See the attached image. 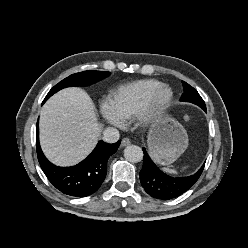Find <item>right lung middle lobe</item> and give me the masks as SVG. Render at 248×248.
<instances>
[{
	"label": "right lung middle lobe",
	"instance_id": "obj_1",
	"mask_svg": "<svg viewBox=\"0 0 248 248\" xmlns=\"http://www.w3.org/2000/svg\"><path fill=\"white\" fill-rule=\"evenodd\" d=\"M110 75L106 71H83L75 73L65 78L58 84H56L47 94L44 101H46L50 96H52L57 91L72 86H88L90 84L96 83Z\"/></svg>",
	"mask_w": 248,
	"mask_h": 248
}]
</instances>
